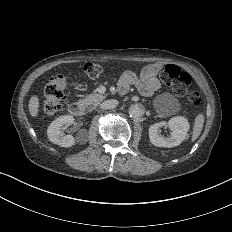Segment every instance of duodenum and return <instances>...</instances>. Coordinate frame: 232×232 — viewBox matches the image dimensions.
Wrapping results in <instances>:
<instances>
[{
  "mask_svg": "<svg viewBox=\"0 0 232 232\" xmlns=\"http://www.w3.org/2000/svg\"><path fill=\"white\" fill-rule=\"evenodd\" d=\"M69 112L73 116L80 117L84 113V108L79 102H74L69 105Z\"/></svg>",
  "mask_w": 232,
  "mask_h": 232,
  "instance_id": "obj_1",
  "label": "duodenum"
}]
</instances>
